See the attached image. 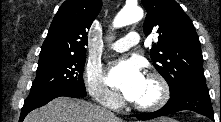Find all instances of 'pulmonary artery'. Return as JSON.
Listing matches in <instances>:
<instances>
[{
    "instance_id": "e3ab8cb5",
    "label": "pulmonary artery",
    "mask_w": 221,
    "mask_h": 122,
    "mask_svg": "<svg viewBox=\"0 0 221 122\" xmlns=\"http://www.w3.org/2000/svg\"><path fill=\"white\" fill-rule=\"evenodd\" d=\"M140 41V36L137 32H129L124 38L119 39L110 45V49L116 52H124L131 47L137 45Z\"/></svg>"
}]
</instances>
